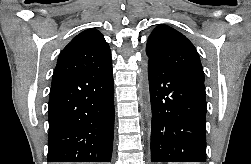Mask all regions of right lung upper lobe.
<instances>
[{
  "instance_id": "obj_1",
  "label": "right lung upper lobe",
  "mask_w": 251,
  "mask_h": 164,
  "mask_svg": "<svg viewBox=\"0 0 251 164\" xmlns=\"http://www.w3.org/2000/svg\"><path fill=\"white\" fill-rule=\"evenodd\" d=\"M111 64V51L103 35L96 29H87L74 37L60 53L52 84Z\"/></svg>"
}]
</instances>
